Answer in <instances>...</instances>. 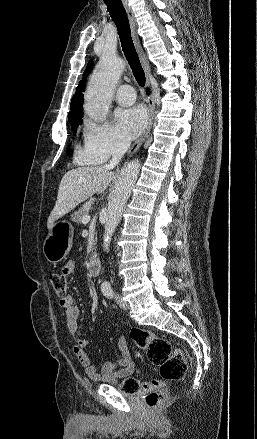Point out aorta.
Listing matches in <instances>:
<instances>
[{"label": "aorta", "instance_id": "obj_1", "mask_svg": "<svg viewBox=\"0 0 257 439\" xmlns=\"http://www.w3.org/2000/svg\"><path fill=\"white\" fill-rule=\"evenodd\" d=\"M124 67L125 63L119 57L110 53L103 54L97 69L91 76L85 96L84 109L90 118L96 121H103L106 118L114 88ZM139 167L138 160L125 165L110 194L104 226V251L109 250L112 235L121 220L124 206L138 177Z\"/></svg>", "mask_w": 257, "mask_h": 439}]
</instances>
